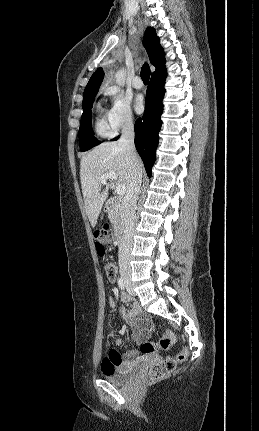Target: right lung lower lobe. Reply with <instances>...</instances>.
Instances as JSON below:
<instances>
[{
    "instance_id": "1",
    "label": "right lung lower lobe",
    "mask_w": 259,
    "mask_h": 431,
    "mask_svg": "<svg viewBox=\"0 0 259 431\" xmlns=\"http://www.w3.org/2000/svg\"><path fill=\"white\" fill-rule=\"evenodd\" d=\"M166 76L165 69L152 74L146 92L144 115L142 118H138L135 123V146L143 160L149 178L152 175L151 170L156 159L158 133L162 125L160 116L163 112L162 100L165 94Z\"/></svg>"
}]
</instances>
